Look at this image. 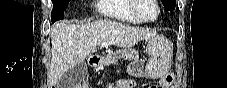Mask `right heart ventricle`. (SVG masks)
Wrapping results in <instances>:
<instances>
[{"label": "right heart ventricle", "instance_id": "e07e8e85", "mask_svg": "<svg viewBox=\"0 0 227 88\" xmlns=\"http://www.w3.org/2000/svg\"><path fill=\"white\" fill-rule=\"evenodd\" d=\"M132 0H97V9L104 16L129 22L140 23L131 12Z\"/></svg>", "mask_w": 227, "mask_h": 88}]
</instances>
